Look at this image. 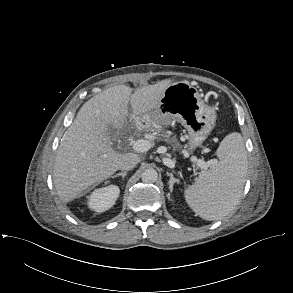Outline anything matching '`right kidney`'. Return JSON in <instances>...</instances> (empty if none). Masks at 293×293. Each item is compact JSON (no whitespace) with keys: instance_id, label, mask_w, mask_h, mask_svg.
Masks as SVG:
<instances>
[{"instance_id":"1","label":"right kidney","mask_w":293,"mask_h":293,"mask_svg":"<svg viewBox=\"0 0 293 293\" xmlns=\"http://www.w3.org/2000/svg\"><path fill=\"white\" fill-rule=\"evenodd\" d=\"M119 193L116 185L95 189L88 197V207L96 212H104L115 204Z\"/></svg>"}]
</instances>
